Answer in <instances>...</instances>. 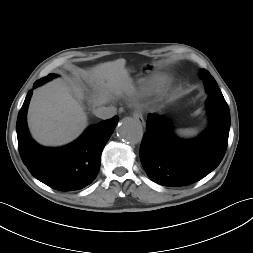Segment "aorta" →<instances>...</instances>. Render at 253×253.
Wrapping results in <instances>:
<instances>
[{
  "label": "aorta",
  "instance_id": "obj_1",
  "mask_svg": "<svg viewBox=\"0 0 253 253\" xmlns=\"http://www.w3.org/2000/svg\"><path fill=\"white\" fill-rule=\"evenodd\" d=\"M116 132L123 141L137 144L142 140L143 128L138 120L133 118L123 119L117 126Z\"/></svg>",
  "mask_w": 253,
  "mask_h": 253
}]
</instances>
